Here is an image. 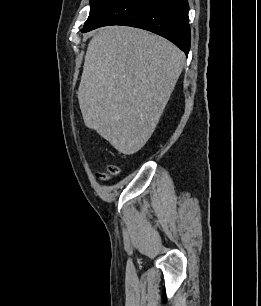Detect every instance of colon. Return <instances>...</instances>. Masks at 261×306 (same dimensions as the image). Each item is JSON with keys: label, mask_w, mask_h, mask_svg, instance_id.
<instances>
[{"label": "colon", "mask_w": 261, "mask_h": 306, "mask_svg": "<svg viewBox=\"0 0 261 306\" xmlns=\"http://www.w3.org/2000/svg\"><path fill=\"white\" fill-rule=\"evenodd\" d=\"M117 173H118V168L116 166H109L107 171L99 173L98 176L102 180H107Z\"/></svg>", "instance_id": "1"}]
</instances>
